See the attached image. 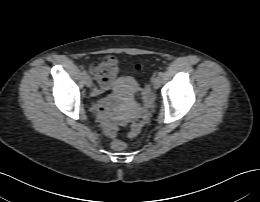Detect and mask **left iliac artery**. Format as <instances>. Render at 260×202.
<instances>
[{"label": "left iliac artery", "mask_w": 260, "mask_h": 202, "mask_svg": "<svg viewBox=\"0 0 260 202\" xmlns=\"http://www.w3.org/2000/svg\"><path fill=\"white\" fill-rule=\"evenodd\" d=\"M158 75H159L160 77H162V76L164 75V73H163L162 71H160V72L158 73Z\"/></svg>", "instance_id": "1"}]
</instances>
